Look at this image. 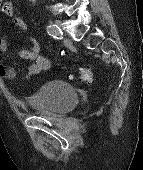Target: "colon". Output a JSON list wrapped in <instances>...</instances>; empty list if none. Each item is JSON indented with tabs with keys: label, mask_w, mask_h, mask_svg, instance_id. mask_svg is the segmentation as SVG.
Here are the masks:
<instances>
[{
	"label": "colon",
	"mask_w": 143,
	"mask_h": 170,
	"mask_svg": "<svg viewBox=\"0 0 143 170\" xmlns=\"http://www.w3.org/2000/svg\"><path fill=\"white\" fill-rule=\"evenodd\" d=\"M92 76L91 68L88 66L81 67L79 69L77 78L81 81H89Z\"/></svg>",
	"instance_id": "colon-1"
}]
</instances>
